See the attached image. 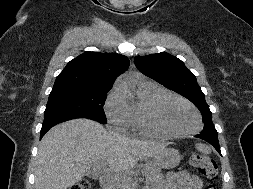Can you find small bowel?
Masks as SVG:
<instances>
[{
    "instance_id": "1",
    "label": "small bowel",
    "mask_w": 253,
    "mask_h": 189,
    "mask_svg": "<svg viewBox=\"0 0 253 189\" xmlns=\"http://www.w3.org/2000/svg\"><path fill=\"white\" fill-rule=\"evenodd\" d=\"M163 189H201L202 180L188 171L171 172L166 176Z\"/></svg>"
}]
</instances>
